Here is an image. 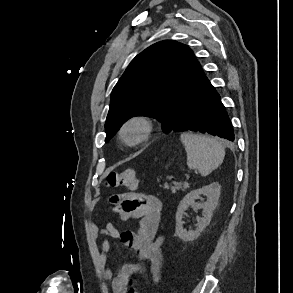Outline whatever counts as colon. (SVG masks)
<instances>
[{
  "instance_id": "colon-1",
  "label": "colon",
  "mask_w": 293,
  "mask_h": 293,
  "mask_svg": "<svg viewBox=\"0 0 293 293\" xmlns=\"http://www.w3.org/2000/svg\"><path fill=\"white\" fill-rule=\"evenodd\" d=\"M105 184L111 188L122 187L134 190L138 187L139 177L132 169L112 171L107 175ZM131 282L132 281H130V283ZM127 293H139V291L136 288L129 286Z\"/></svg>"
}]
</instances>
